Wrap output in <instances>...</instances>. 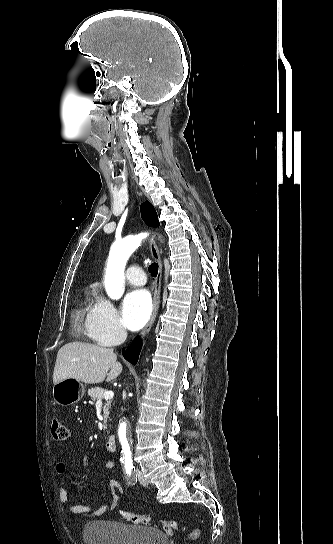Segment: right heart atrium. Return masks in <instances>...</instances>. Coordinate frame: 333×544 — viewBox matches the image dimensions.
I'll return each instance as SVG.
<instances>
[{"instance_id":"1","label":"right heart atrium","mask_w":333,"mask_h":544,"mask_svg":"<svg viewBox=\"0 0 333 544\" xmlns=\"http://www.w3.org/2000/svg\"><path fill=\"white\" fill-rule=\"evenodd\" d=\"M85 328L88 335L102 346L117 344L126 337V329L116 307L103 297L89 311Z\"/></svg>"}]
</instances>
